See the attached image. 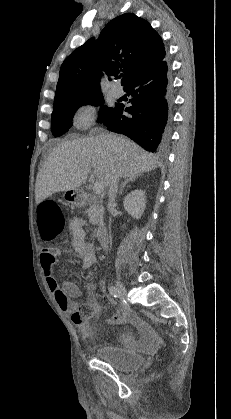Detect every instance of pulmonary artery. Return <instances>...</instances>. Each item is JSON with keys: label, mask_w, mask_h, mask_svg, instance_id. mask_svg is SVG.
<instances>
[{"label": "pulmonary artery", "mask_w": 231, "mask_h": 419, "mask_svg": "<svg viewBox=\"0 0 231 419\" xmlns=\"http://www.w3.org/2000/svg\"><path fill=\"white\" fill-rule=\"evenodd\" d=\"M111 93L114 97L119 98L124 95V90L119 84H115L111 89Z\"/></svg>", "instance_id": "pulmonary-artery-1"}]
</instances>
